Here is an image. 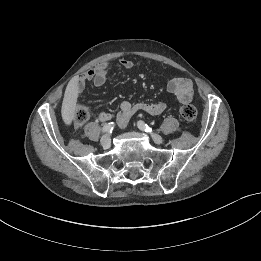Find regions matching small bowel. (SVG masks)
I'll return each instance as SVG.
<instances>
[{
  "instance_id": "small-bowel-1",
  "label": "small bowel",
  "mask_w": 261,
  "mask_h": 261,
  "mask_svg": "<svg viewBox=\"0 0 261 261\" xmlns=\"http://www.w3.org/2000/svg\"><path fill=\"white\" fill-rule=\"evenodd\" d=\"M120 64L125 69H131L134 67V63L126 58L121 59ZM108 75V63H100L97 66L89 69L85 73L81 74L70 87L69 94L74 100H77L83 92L87 82L92 81L97 87L103 86L106 83ZM167 91L174 96V99L178 103L186 104L190 103L193 99V84L192 81L184 77L171 78L167 83ZM167 105L165 102L156 103H131L124 101L120 105V109L117 113H109L102 111L98 114L97 119L100 122L110 121L116 119L120 126L128 124L133 115L137 112H144L149 115H159L165 111Z\"/></svg>"
}]
</instances>
